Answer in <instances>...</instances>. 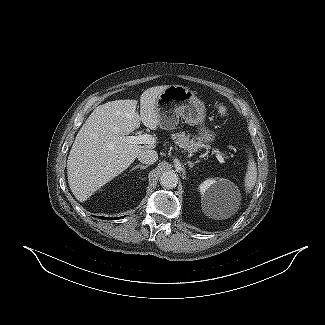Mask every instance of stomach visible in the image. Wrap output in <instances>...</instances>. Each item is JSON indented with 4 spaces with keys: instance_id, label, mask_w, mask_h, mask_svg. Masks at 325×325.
<instances>
[{
    "instance_id": "obj_1",
    "label": "stomach",
    "mask_w": 325,
    "mask_h": 325,
    "mask_svg": "<svg viewBox=\"0 0 325 325\" xmlns=\"http://www.w3.org/2000/svg\"><path fill=\"white\" fill-rule=\"evenodd\" d=\"M158 126L165 130L174 129L182 118L190 125L198 126V141L212 143L216 134L204 126L206 108L193 91L182 85L168 86L156 99Z\"/></svg>"
}]
</instances>
